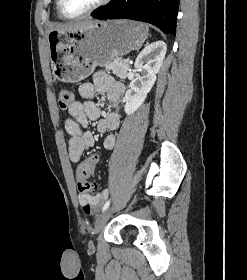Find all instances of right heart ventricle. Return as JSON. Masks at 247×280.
<instances>
[{"instance_id":"e07e8e85","label":"right heart ventricle","mask_w":247,"mask_h":280,"mask_svg":"<svg viewBox=\"0 0 247 280\" xmlns=\"http://www.w3.org/2000/svg\"><path fill=\"white\" fill-rule=\"evenodd\" d=\"M56 11H57L58 17L62 18L61 15L59 14V11H58V0H56Z\"/></svg>"}]
</instances>
